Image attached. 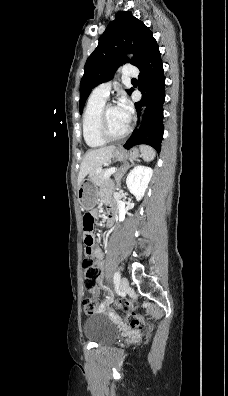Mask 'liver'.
I'll return each mask as SVG.
<instances>
[{
	"label": "liver",
	"mask_w": 228,
	"mask_h": 396,
	"mask_svg": "<svg viewBox=\"0 0 228 396\" xmlns=\"http://www.w3.org/2000/svg\"><path fill=\"white\" fill-rule=\"evenodd\" d=\"M115 149V146H106L87 151L80 166L78 185L81 184L87 174L96 171L103 164H107L111 160Z\"/></svg>",
	"instance_id": "obj_1"
}]
</instances>
